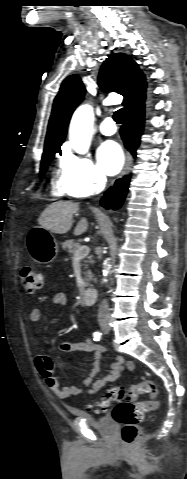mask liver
Returning a JSON list of instances; mask_svg holds the SVG:
<instances>
[{"instance_id":"obj_1","label":"liver","mask_w":187,"mask_h":479,"mask_svg":"<svg viewBox=\"0 0 187 479\" xmlns=\"http://www.w3.org/2000/svg\"><path fill=\"white\" fill-rule=\"evenodd\" d=\"M79 210V204L73 202H54L50 204L40 215L39 225L56 234L67 233L73 224V215ZM88 221L81 218L74 229V235L78 236L86 232Z\"/></svg>"}]
</instances>
